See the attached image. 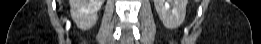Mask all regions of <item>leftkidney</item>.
Here are the masks:
<instances>
[{"label":"left kidney","instance_id":"5707ae66","mask_svg":"<svg viewBox=\"0 0 261 44\" xmlns=\"http://www.w3.org/2000/svg\"><path fill=\"white\" fill-rule=\"evenodd\" d=\"M156 11L164 26L170 30L178 28L186 16L187 0H154Z\"/></svg>","mask_w":261,"mask_h":44}]
</instances>
